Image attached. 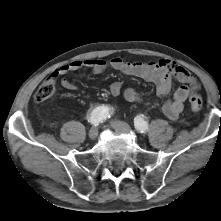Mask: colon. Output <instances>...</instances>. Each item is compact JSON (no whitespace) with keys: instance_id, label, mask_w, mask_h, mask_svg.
<instances>
[{"instance_id":"colon-1","label":"colon","mask_w":221,"mask_h":221,"mask_svg":"<svg viewBox=\"0 0 221 221\" xmlns=\"http://www.w3.org/2000/svg\"><path fill=\"white\" fill-rule=\"evenodd\" d=\"M56 90V80L54 78H47L44 80L34 93L35 102H43L52 97ZM190 107L193 111L198 112L202 109L203 100L196 94L192 93L189 98Z\"/></svg>"}]
</instances>
